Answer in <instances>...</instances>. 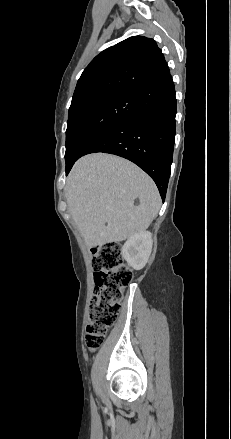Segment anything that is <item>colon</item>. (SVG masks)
I'll return each instance as SVG.
<instances>
[{
    "label": "colon",
    "mask_w": 231,
    "mask_h": 439,
    "mask_svg": "<svg viewBox=\"0 0 231 439\" xmlns=\"http://www.w3.org/2000/svg\"><path fill=\"white\" fill-rule=\"evenodd\" d=\"M93 253L96 290L85 335V343L91 351L103 344L109 328L116 322L124 291L132 279L118 245L103 244L96 247Z\"/></svg>",
    "instance_id": "1"
}]
</instances>
